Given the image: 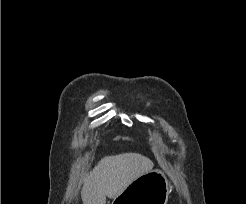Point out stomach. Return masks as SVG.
<instances>
[{
	"label": "stomach",
	"mask_w": 246,
	"mask_h": 204,
	"mask_svg": "<svg viewBox=\"0 0 246 204\" xmlns=\"http://www.w3.org/2000/svg\"><path fill=\"white\" fill-rule=\"evenodd\" d=\"M169 192L170 185L164 173L152 170L132 181L112 204H166Z\"/></svg>",
	"instance_id": "1"
}]
</instances>
